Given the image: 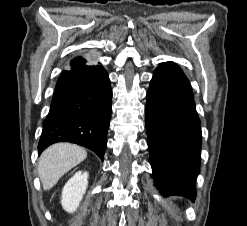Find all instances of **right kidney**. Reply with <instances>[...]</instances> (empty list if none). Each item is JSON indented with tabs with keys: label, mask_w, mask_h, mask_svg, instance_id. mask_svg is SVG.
I'll use <instances>...</instances> for the list:
<instances>
[{
	"label": "right kidney",
	"mask_w": 247,
	"mask_h": 226,
	"mask_svg": "<svg viewBox=\"0 0 247 226\" xmlns=\"http://www.w3.org/2000/svg\"><path fill=\"white\" fill-rule=\"evenodd\" d=\"M88 186V173L76 172L62 190L61 204L64 210L73 213L77 210Z\"/></svg>",
	"instance_id": "ca27d5eb"
}]
</instances>
